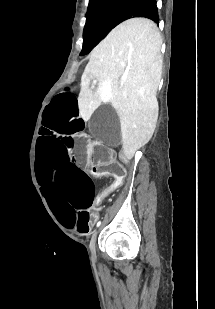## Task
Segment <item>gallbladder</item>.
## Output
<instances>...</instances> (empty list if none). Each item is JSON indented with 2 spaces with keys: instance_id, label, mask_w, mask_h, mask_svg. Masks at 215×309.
<instances>
[{
  "instance_id": "1",
  "label": "gallbladder",
  "mask_w": 215,
  "mask_h": 309,
  "mask_svg": "<svg viewBox=\"0 0 215 309\" xmlns=\"http://www.w3.org/2000/svg\"><path fill=\"white\" fill-rule=\"evenodd\" d=\"M90 123V131L101 144H105L106 148L119 147L122 142L119 137L121 127L111 103H100L99 109L92 113Z\"/></svg>"
}]
</instances>
